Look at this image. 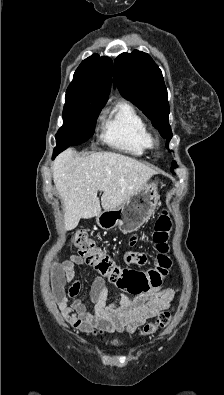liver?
I'll return each mask as SVG.
<instances>
[{"instance_id":"obj_1","label":"liver","mask_w":224,"mask_h":395,"mask_svg":"<svg viewBox=\"0 0 224 395\" xmlns=\"http://www.w3.org/2000/svg\"><path fill=\"white\" fill-rule=\"evenodd\" d=\"M53 180L65 208V229L120 206L136 193L156 171L136 159L115 152H97L81 157L73 149L54 161ZM98 191L103 192L100 200Z\"/></svg>"}]
</instances>
